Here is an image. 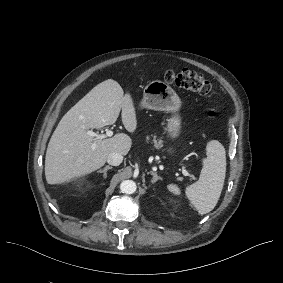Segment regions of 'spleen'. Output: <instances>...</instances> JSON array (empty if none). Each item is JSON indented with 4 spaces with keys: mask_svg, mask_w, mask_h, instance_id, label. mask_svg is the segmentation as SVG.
<instances>
[{
    "mask_svg": "<svg viewBox=\"0 0 283 283\" xmlns=\"http://www.w3.org/2000/svg\"><path fill=\"white\" fill-rule=\"evenodd\" d=\"M207 158L203 159V168L199 180L186 188V196L201 214L209 213L216 206L224 185L226 173V155L222 144L212 140L206 146ZM174 195L181 191L175 184L167 185Z\"/></svg>",
    "mask_w": 283,
    "mask_h": 283,
    "instance_id": "1",
    "label": "spleen"
}]
</instances>
